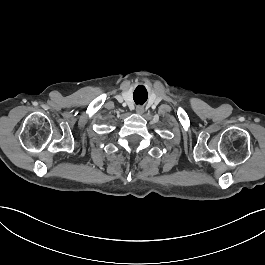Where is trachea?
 Here are the masks:
<instances>
[{
    "label": "trachea",
    "mask_w": 265,
    "mask_h": 265,
    "mask_svg": "<svg viewBox=\"0 0 265 265\" xmlns=\"http://www.w3.org/2000/svg\"><path fill=\"white\" fill-rule=\"evenodd\" d=\"M133 98L137 105H142L147 99V93L144 87H138L134 92Z\"/></svg>",
    "instance_id": "3493384b"
}]
</instances>
